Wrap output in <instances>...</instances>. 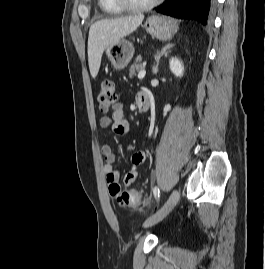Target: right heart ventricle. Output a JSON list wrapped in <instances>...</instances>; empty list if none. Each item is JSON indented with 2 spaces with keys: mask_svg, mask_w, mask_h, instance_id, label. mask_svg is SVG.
<instances>
[{
  "mask_svg": "<svg viewBox=\"0 0 265 269\" xmlns=\"http://www.w3.org/2000/svg\"><path fill=\"white\" fill-rule=\"evenodd\" d=\"M98 3L101 10L105 13L119 14L124 10L114 0H98Z\"/></svg>",
  "mask_w": 265,
  "mask_h": 269,
  "instance_id": "obj_1",
  "label": "right heart ventricle"
}]
</instances>
